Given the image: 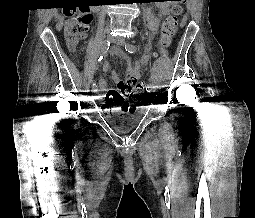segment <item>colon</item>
I'll list each match as a JSON object with an SVG mask.
<instances>
[{
  "mask_svg": "<svg viewBox=\"0 0 255 218\" xmlns=\"http://www.w3.org/2000/svg\"><path fill=\"white\" fill-rule=\"evenodd\" d=\"M172 2L170 15L165 19L160 35V43L162 46H168L177 30L178 16L182 12V4L184 0H166ZM65 35L71 47H74L82 37L88 32L92 20L91 14L82 7H70L64 11ZM143 84L136 83L132 86L124 88L130 94V97L140 96L143 93Z\"/></svg>",
  "mask_w": 255,
  "mask_h": 218,
  "instance_id": "5ec220e1",
  "label": "colon"
}]
</instances>
